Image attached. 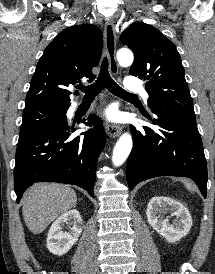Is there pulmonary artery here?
<instances>
[{"label": "pulmonary artery", "instance_id": "e3ab8cb5", "mask_svg": "<svg viewBox=\"0 0 215 274\" xmlns=\"http://www.w3.org/2000/svg\"><path fill=\"white\" fill-rule=\"evenodd\" d=\"M125 88L130 92H140L143 94V97L147 100L149 95L143 88L141 82L135 78L128 77L125 81ZM77 104L75 103L73 106L75 107Z\"/></svg>", "mask_w": 215, "mask_h": 274}]
</instances>
